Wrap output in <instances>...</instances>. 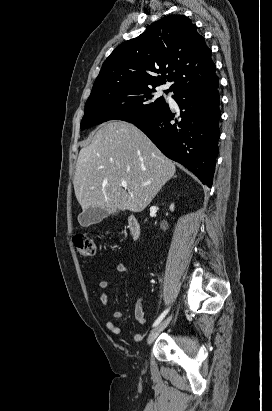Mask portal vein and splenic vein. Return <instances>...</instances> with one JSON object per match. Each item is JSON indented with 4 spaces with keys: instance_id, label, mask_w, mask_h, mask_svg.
<instances>
[{
    "instance_id": "1",
    "label": "portal vein and splenic vein",
    "mask_w": 272,
    "mask_h": 411,
    "mask_svg": "<svg viewBox=\"0 0 272 411\" xmlns=\"http://www.w3.org/2000/svg\"><path fill=\"white\" fill-rule=\"evenodd\" d=\"M148 184H150V183H145V185H148ZM122 186H123L124 188H126V187H127V183H126V182H122Z\"/></svg>"
}]
</instances>
